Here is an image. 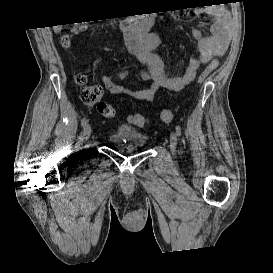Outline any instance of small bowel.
Listing matches in <instances>:
<instances>
[{
  "label": "small bowel",
  "mask_w": 273,
  "mask_h": 273,
  "mask_svg": "<svg viewBox=\"0 0 273 273\" xmlns=\"http://www.w3.org/2000/svg\"><path fill=\"white\" fill-rule=\"evenodd\" d=\"M194 14H204L209 19L211 34L205 35L201 30H194L196 38V53L193 55L181 75L168 70L164 62L153 50L163 43L159 36H149L147 41H141L136 33H129L127 46L130 52L137 55L144 65L143 76L152 80L149 87L140 90H129L108 77H102V82L110 94L124 95L140 101H152L160 88L171 91H180L196 77V70L200 63L210 62L214 58L222 57L228 49L232 19L229 13L221 6L206 7L195 10ZM127 71L121 68L116 71L119 79L125 78Z\"/></svg>",
  "instance_id": "1"
}]
</instances>
